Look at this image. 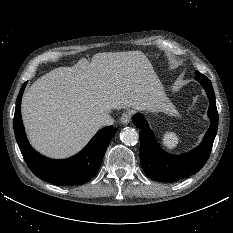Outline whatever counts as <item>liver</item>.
<instances>
[{
    "label": "liver",
    "instance_id": "6515ba94",
    "mask_svg": "<svg viewBox=\"0 0 233 233\" xmlns=\"http://www.w3.org/2000/svg\"><path fill=\"white\" fill-rule=\"evenodd\" d=\"M160 81L140 51L97 53L37 79L23 95L22 118L32 146L51 158L80 151L100 129L97 119L131 107L167 111Z\"/></svg>",
    "mask_w": 233,
    "mask_h": 233
}]
</instances>
